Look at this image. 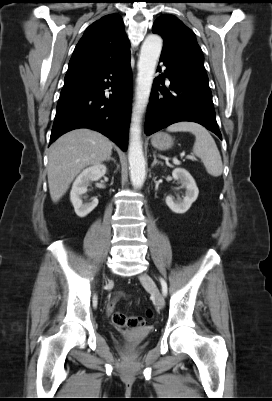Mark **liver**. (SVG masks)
Listing matches in <instances>:
<instances>
[{"label":"liver","mask_w":272,"mask_h":401,"mask_svg":"<svg viewBox=\"0 0 272 401\" xmlns=\"http://www.w3.org/2000/svg\"><path fill=\"white\" fill-rule=\"evenodd\" d=\"M112 142L97 131L75 129L57 139L48 157V185L53 202L67 192L74 178L86 167L111 156Z\"/></svg>","instance_id":"liver-1"}]
</instances>
